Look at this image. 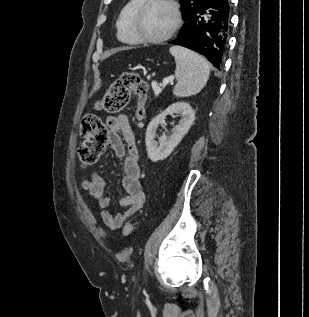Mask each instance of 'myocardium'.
<instances>
[{
	"instance_id": "1",
	"label": "myocardium",
	"mask_w": 309,
	"mask_h": 317,
	"mask_svg": "<svg viewBox=\"0 0 309 317\" xmlns=\"http://www.w3.org/2000/svg\"><path fill=\"white\" fill-rule=\"evenodd\" d=\"M153 3H164L171 7L174 13V24L172 28L164 35L159 37H148L143 35L138 29L139 19L144 10ZM182 14L178 3L175 0H142V2L136 7L132 13L130 19L131 30L136 39L141 43L158 44L165 42L172 38L182 25Z\"/></svg>"
}]
</instances>
